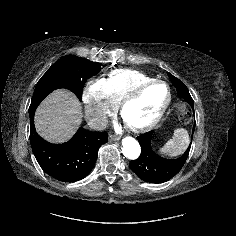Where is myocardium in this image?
<instances>
[{
  "label": "myocardium",
  "mask_w": 236,
  "mask_h": 236,
  "mask_svg": "<svg viewBox=\"0 0 236 236\" xmlns=\"http://www.w3.org/2000/svg\"><path fill=\"white\" fill-rule=\"evenodd\" d=\"M155 84L164 85L168 91L167 100L163 104V106L160 108L158 113L155 115V117L151 121H149L148 123H145L143 125H133V124L126 122L124 119V116H123L125 108L128 105H130L132 102L136 101L147 88H149ZM172 97H173L172 96V89L166 81L160 80V79H152V80H149V81H146V82H143V83L137 85L126 96H124L121 99V101L118 103V111H119V114H120L121 118L123 119L124 124L128 130H130L134 133H143V132L151 130L160 122V120L162 119V117L164 116L165 112L167 111V109L169 108V106L172 102Z\"/></svg>",
  "instance_id": "1"
}]
</instances>
